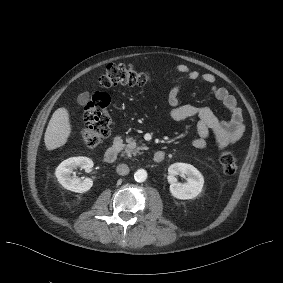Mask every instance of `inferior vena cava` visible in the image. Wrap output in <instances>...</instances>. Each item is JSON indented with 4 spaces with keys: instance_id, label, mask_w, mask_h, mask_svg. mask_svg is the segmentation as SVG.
Returning a JSON list of instances; mask_svg holds the SVG:
<instances>
[{
    "instance_id": "obj_1",
    "label": "inferior vena cava",
    "mask_w": 283,
    "mask_h": 283,
    "mask_svg": "<svg viewBox=\"0 0 283 283\" xmlns=\"http://www.w3.org/2000/svg\"><path fill=\"white\" fill-rule=\"evenodd\" d=\"M119 175H127L129 173V167L126 164H119L116 168Z\"/></svg>"
}]
</instances>
